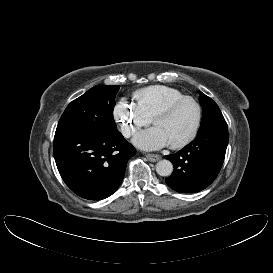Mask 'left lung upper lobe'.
<instances>
[{"instance_id": "left-lung-upper-lobe-1", "label": "left lung upper lobe", "mask_w": 273, "mask_h": 273, "mask_svg": "<svg viewBox=\"0 0 273 273\" xmlns=\"http://www.w3.org/2000/svg\"><path fill=\"white\" fill-rule=\"evenodd\" d=\"M202 120L198 133L222 128H228L218 105L208 96L200 92Z\"/></svg>"}]
</instances>
